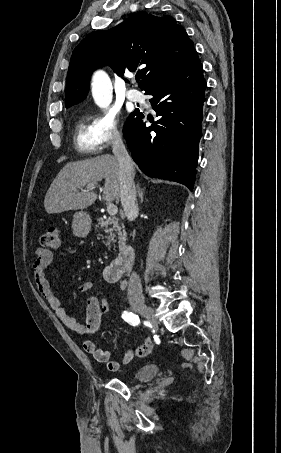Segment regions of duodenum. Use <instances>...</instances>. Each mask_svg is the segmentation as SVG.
I'll return each mask as SVG.
<instances>
[{"label":"duodenum","instance_id":"duodenum-1","mask_svg":"<svg viewBox=\"0 0 281 453\" xmlns=\"http://www.w3.org/2000/svg\"><path fill=\"white\" fill-rule=\"evenodd\" d=\"M133 260V248L130 246L123 247L116 258L104 268V279L108 282L117 281L129 269Z\"/></svg>","mask_w":281,"mask_h":453}]
</instances>
